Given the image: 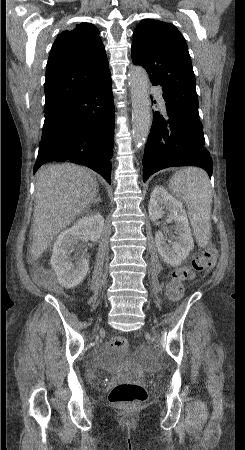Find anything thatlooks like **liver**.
<instances>
[{
    "label": "liver",
    "mask_w": 245,
    "mask_h": 450,
    "mask_svg": "<svg viewBox=\"0 0 245 450\" xmlns=\"http://www.w3.org/2000/svg\"><path fill=\"white\" fill-rule=\"evenodd\" d=\"M98 183L77 165L44 166L37 174L31 256L41 257L57 234L69 226L95 200Z\"/></svg>",
    "instance_id": "6515ba94"
}]
</instances>
